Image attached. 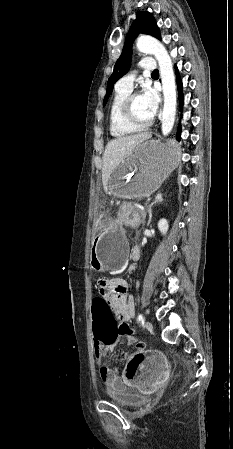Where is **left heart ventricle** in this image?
I'll return each instance as SVG.
<instances>
[{"mask_svg": "<svg viewBox=\"0 0 233 449\" xmlns=\"http://www.w3.org/2000/svg\"><path fill=\"white\" fill-rule=\"evenodd\" d=\"M133 111L136 117L141 120H146L151 117V113L149 112L146 103L142 97V95H138L133 101Z\"/></svg>", "mask_w": 233, "mask_h": 449, "instance_id": "1", "label": "left heart ventricle"}]
</instances>
